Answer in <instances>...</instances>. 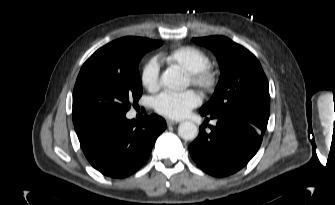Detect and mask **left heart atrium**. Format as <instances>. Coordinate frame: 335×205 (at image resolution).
<instances>
[{
	"label": "left heart atrium",
	"mask_w": 335,
	"mask_h": 205,
	"mask_svg": "<svg viewBox=\"0 0 335 205\" xmlns=\"http://www.w3.org/2000/svg\"><path fill=\"white\" fill-rule=\"evenodd\" d=\"M200 96L193 90L183 92L164 91L154 99L157 113L172 119L185 117L200 104Z\"/></svg>",
	"instance_id": "obj_1"
}]
</instances>
